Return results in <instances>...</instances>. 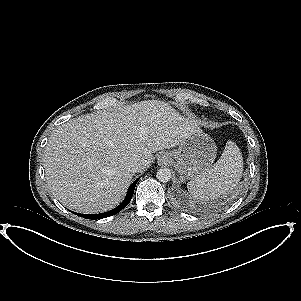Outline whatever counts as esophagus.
<instances>
[{"mask_svg": "<svg viewBox=\"0 0 301 301\" xmlns=\"http://www.w3.org/2000/svg\"><path fill=\"white\" fill-rule=\"evenodd\" d=\"M170 160V155L168 153H163L158 157L157 162L160 166H163L168 165L170 163Z\"/></svg>", "mask_w": 301, "mask_h": 301, "instance_id": "esophagus-1", "label": "esophagus"}]
</instances>
